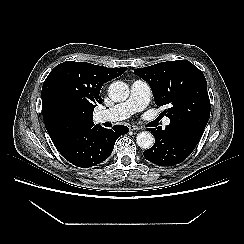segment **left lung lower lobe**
<instances>
[{
  "label": "left lung lower lobe",
  "instance_id": "1",
  "mask_svg": "<svg viewBox=\"0 0 244 244\" xmlns=\"http://www.w3.org/2000/svg\"><path fill=\"white\" fill-rule=\"evenodd\" d=\"M155 137V144L144 151V157L159 166H172L184 161L194 150L200 138L169 125L148 129Z\"/></svg>",
  "mask_w": 244,
  "mask_h": 244
}]
</instances>
